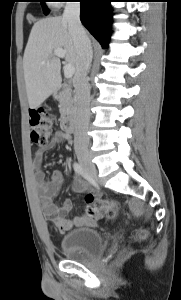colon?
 I'll return each mask as SVG.
<instances>
[{
	"instance_id": "obj_1",
	"label": "colon",
	"mask_w": 181,
	"mask_h": 300,
	"mask_svg": "<svg viewBox=\"0 0 181 300\" xmlns=\"http://www.w3.org/2000/svg\"><path fill=\"white\" fill-rule=\"evenodd\" d=\"M53 122V117L44 110L30 113V137L33 144L39 147L47 144ZM87 204V215L96 220L112 219L119 210V203L115 200L94 199L87 201ZM147 235V230L142 229L137 233V238L144 239Z\"/></svg>"
}]
</instances>
